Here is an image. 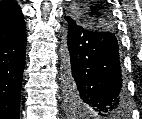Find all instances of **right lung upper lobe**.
Here are the masks:
<instances>
[{"label":"right lung upper lobe","instance_id":"obj_1","mask_svg":"<svg viewBox=\"0 0 142 119\" xmlns=\"http://www.w3.org/2000/svg\"><path fill=\"white\" fill-rule=\"evenodd\" d=\"M26 30L19 5L12 0L0 1V42L16 37Z\"/></svg>","mask_w":142,"mask_h":119}]
</instances>
